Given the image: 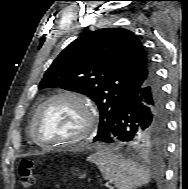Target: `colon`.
<instances>
[{
  "mask_svg": "<svg viewBox=\"0 0 188 189\" xmlns=\"http://www.w3.org/2000/svg\"><path fill=\"white\" fill-rule=\"evenodd\" d=\"M34 162L25 159L18 167V176L22 189H31L34 184Z\"/></svg>",
  "mask_w": 188,
  "mask_h": 189,
  "instance_id": "1",
  "label": "colon"
}]
</instances>
